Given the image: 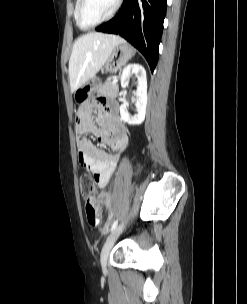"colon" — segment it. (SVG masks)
Here are the masks:
<instances>
[{
	"label": "colon",
	"mask_w": 247,
	"mask_h": 304,
	"mask_svg": "<svg viewBox=\"0 0 247 304\" xmlns=\"http://www.w3.org/2000/svg\"><path fill=\"white\" fill-rule=\"evenodd\" d=\"M79 188L82 197L86 201V216L88 222L95 226L100 217V206L108 200V194L101 192L94 196L96 185L94 178L89 174H82L79 178Z\"/></svg>",
	"instance_id": "1"
}]
</instances>
